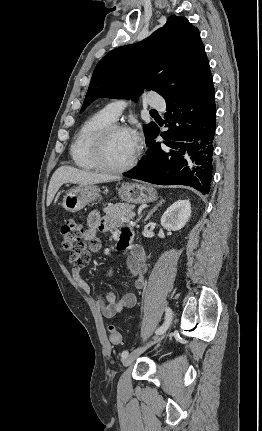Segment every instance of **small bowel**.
Returning a JSON list of instances; mask_svg holds the SVG:
<instances>
[{
    "mask_svg": "<svg viewBox=\"0 0 262 431\" xmlns=\"http://www.w3.org/2000/svg\"><path fill=\"white\" fill-rule=\"evenodd\" d=\"M87 224L88 228L85 231L83 239L84 241L96 240V243L92 244L83 253L73 255L69 258V264L73 267V277L78 287L84 292H90L91 290L90 284L81 277L80 271L88 265L91 256L101 248L100 242L96 237V232L99 230L102 232L111 231L120 239L121 247H127L128 254L125 261L132 275L133 285L136 289H142L145 285L144 273L146 270L144 250L140 245L132 243L134 237L132 228L115 225L98 211H93L89 214ZM136 302V295L126 291L120 295L114 291H109L105 295L104 300L99 299L97 301L101 313L105 318H112L123 309L134 307Z\"/></svg>",
    "mask_w": 262,
    "mask_h": 431,
    "instance_id": "1",
    "label": "small bowel"
}]
</instances>
